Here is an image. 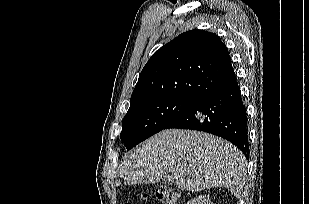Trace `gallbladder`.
Returning <instances> with one entry per match:
<instances>
[{"label":"gallbladder","mask_w":309,"mask_h":204,"mask_svg":"<svg viewBox=\"0 0 309 204\" xmlns=\"http://www.w3.org/2000/svg\"><path fill=\"white\" fill-rule=\"evenodd\" d=\"M162 182L166 185H172L173 177L171 175H165L162 179Z\"/></svg>","instance_id":"1"}]
</instances>
